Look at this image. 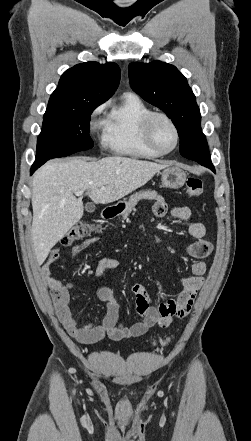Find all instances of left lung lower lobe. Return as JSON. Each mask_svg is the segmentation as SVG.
<instances>
[{"label": "left lung lower lobe", "mask_w": 251, "mask_h": 441, "mask_svg": "<svg viewBox=\"0 0 251 441\" xmlns=\"http://www.w3.org/2000/svg\"><path fill=\"white\" fill-rule=\"evenodd\" d=\"M193 144H195L194 145L195 146L194 149L196 151H199L200 154H201V158H203V159H199L198 163H200L201 165L206 166V167L210 168L211 170L215 171L214 170V166H213V164L211 162V159H210V153H209V150H208V146H207V142H206V138H205L204 134L200 133L196 137L195 141H193Z\"/></svg>", "instance_id": "left-lung-lower-lobe-1"}]
</instances>
